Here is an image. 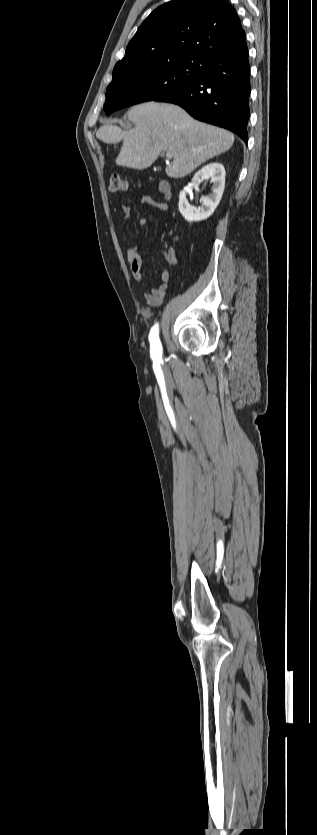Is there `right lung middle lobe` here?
Segmentation results:
<instances>
[{
	"label": "right lung middle lobe",
	"mask_w": 317,
	"mask_h": 835,
	"mask_svg": "<svg viewBox=\"0 0 317 835\" xmlns=\"http://www.w3.org/2000/svg\"><path fill=\"white\" fill-rule=\"evenodd\" d=\"M199 59L143 68L137 72L113 75L106 91L107 115L120 108L155 100L168 91L198 77Z\"/></svg>",
	"instance_id": "dd1d6c3e"
}]
</instances>
